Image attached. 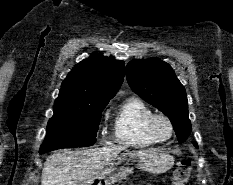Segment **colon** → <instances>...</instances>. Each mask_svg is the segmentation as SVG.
I'll list each match as a JSON object with an SVG mask.
<instances>
[{
	"instance_id": "obj_1",
	"label": "colon",
	"mask_w": 233,
	"mask_h": 185,
	"mask_svg": "<svg viewBox=\"0 0 233 185\" xmlns=\"http://www.w3.org/2000/svg\"><path fill=\"white\" fill-rule=\"evenodd\" d=\"M191 169V161L189 159L179 161L173 172V185H187Z\"/></svg>"
}]
</instances>
